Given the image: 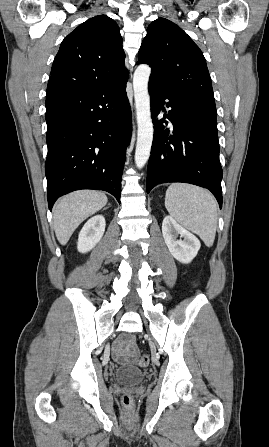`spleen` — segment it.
Here are the masks:
<instances>
[{"label":"spleen","mask_w":269,"mask_h":447,"mask_svg":"<svg viewBox=\"0 0 269 447\" xmlns=\"http://www.w3.org/2000/svg\"><path fill=\"white\" fill-rule=\"evenodd\" d=\"M165 206L172 218L197 233L207 247L213 245L217 206L208 190L190 184H171L166 192Z\"/></svg>","instance_id":"spleen-1"}]
</instances>
